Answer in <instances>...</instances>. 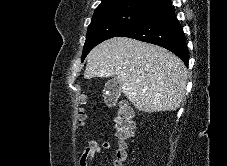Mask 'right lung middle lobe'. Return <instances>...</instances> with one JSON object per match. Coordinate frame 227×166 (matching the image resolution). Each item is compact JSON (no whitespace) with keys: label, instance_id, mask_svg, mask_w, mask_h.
Listing matches in <instances>:
<instances>
[{"label":"right lung middle lobe","instance_id":"1","mask_svg":"<svg viewBox=\"0 0 227 166\" xmlns=\"http://www.w3.org/2000/svg\"><path fill=\"white\" fill-rule=\"evenodd\" d=\"M157 8L152 5L125 3L95 10L88 26L82 61L96 45L109 38L117 37Z\"/></svg>","mask_w":227,"mask_h":166}]
</instances>
